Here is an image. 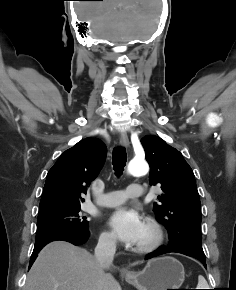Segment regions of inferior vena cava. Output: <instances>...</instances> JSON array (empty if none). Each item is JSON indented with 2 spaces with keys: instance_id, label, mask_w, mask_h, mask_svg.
<instances>
[{
  "instance_id": "obj_1",
  "label": "inferior vena cava",
  "mask_w": 236,
  "mask_h": 290,
  "mask_svg": "<svg viewBox=\"0 0 236 290\" xmlns=\"http://www.w3.org/2000/svg\"><path fill=\"white\" fill-rule=\"evenodd\" d=\"M116 252V237L102 236L99 238L95 248V258L101 267H107L112 264Z\"/></svg>"
}]
</instances>
